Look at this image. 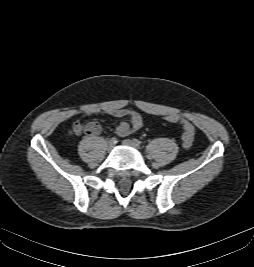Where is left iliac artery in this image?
Returning a JSON list of instances; mask_svg holds the SVG:
<instances>
[{
  "mask_svg": "<svg viewBox=\"0 0 254 267\" xmlns=\"http://www.w3.org/2000/svg\"><path fill=\"white\" fill-rule=\"evenodd\" d=\"M133 142H134V144L136 145V146H141V141L140 140H138V139H133Z\"/></svg>",
  "mask_w": 254,
  "mask_h": 267,
  "instance_id": "1",
  "label": "left iliac artery"
}]
</instances>
